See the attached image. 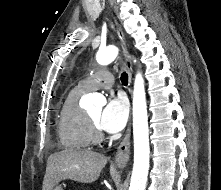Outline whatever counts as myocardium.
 Returning <instances> with one entry per match:
<instances>
[{"mask_svg": "<svg viewBox=\"0 0 221 190\" xmlns=\"http://www.w3.org/2000/svg\"><path fill=\"white\" fill-rule=\"evenodd\" d=\"M88 127L90 130V137L93 142H99L103 139V135L100 132L97 124L91 119L90 115L87 114Z\"/></svg>", "mask_w": 221, "mask_h": 190, "instance_id": "1", "label": "myocardium"}]
</instances>
